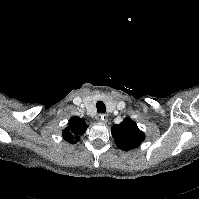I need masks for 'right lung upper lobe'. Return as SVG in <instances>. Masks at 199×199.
I'll list each match as a JSON object with an SVG mask.
<instances>
[{"label": "right lung upper lobe", "instance_id": "right-lung-upper-lobe-1", "mask_svg": "<svg viewBox=\"0 0 199 199\" xmlns=\"http://www.w3.org/2000/svg\"><path fill=\"white\" fill-rule=\"evenodd\" d=\"M68 127L63 131L64 139L72 144L79 141L80 135L84 134L88 125L84 118L73 117L69 120Z\"/></svg>", "mask_w": 199, "mask_h": 199}]
</instances>
